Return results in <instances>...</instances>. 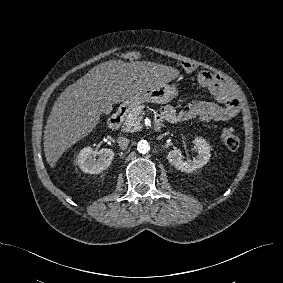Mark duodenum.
<instances>
[{
	"label": "duodenum",
	"mask_w": 283,
	"mask_h": 283,
	"mask_svg": "<svg viewBox=\"0 0 283 283\" xmlns=\"http://www.w3.org/2000/svg\"><path fill=\"white\" fill-rule=\"evenodd\" d=\"M127 111V104H123L118 108V110L109 118V126L113 129L118 128L123 122ZM162 125V120L156 116L155 118V129H160Z\"/></svg>",
	"instance_id": "obj_1"
}]
</instances>
